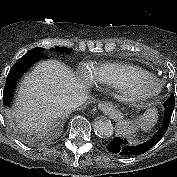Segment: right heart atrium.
I'll return each instance as SVG.
<instances>
[{
	"label": "right heart atrium",
	"mask_w": 177,
	"mask_h": 177,
	"mask_svg": "<svg viewBox=\"0 0 177 177\" xmlns=\"http://www.w3.org/2000/svg\"><path fill=\"white\" fill-rule=\"evenodd\" d=\"M81 73L87 79H89L91 77L90 71L88 69H82Z\"/></svg>",
	"instance_id": "1"
}]
</instances>
